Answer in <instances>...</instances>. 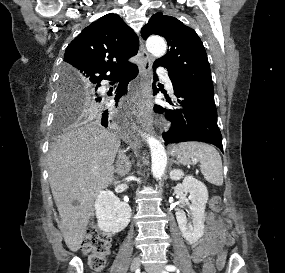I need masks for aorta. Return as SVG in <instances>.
I'll list each match as a JSON object with an SVG mask.
<instances>
[{
	"label": "aorta",
	"mask_w": 285,
	"mask_h": 273,
	"mask_svg": "<svg viewBox=\"0 0 285 273\" xmlns=\"http://www.w3.org/2000/svg\"><path fill=\"white\" fill-rule=\"evenodd\" d=\"M147 50L155 57H161L166 52V43L161 37H150L146 42ZM151 151V170L156 179L164 174L167 165V155L162 143L153 136L143 134Z\"/></svg>",
	"instance_id": "762f6f07"
}]
</instances>
